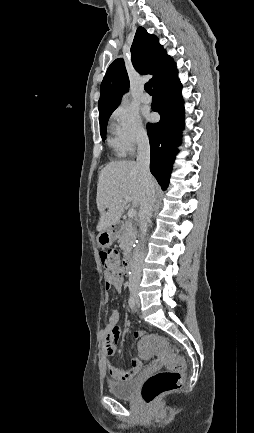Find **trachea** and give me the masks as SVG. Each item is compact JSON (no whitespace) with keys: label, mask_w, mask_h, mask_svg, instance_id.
Returning a JSON list of instances; mask_svg holds the SVG:
<instances>
[{"label":"trachea","mask_w":254,"mask_h":433,"mask_svg":"<svg viewBox=\"0 0 254 433\" xmlns=\"http://www.w3.org/2000/svg\"><path fill=\"white\" fill-rule=\"evenodd\" d=\"M144 89L148 94L152 95V85L150 83H146Z\"/></svg>","instance_id":"1"}]
</instances>
